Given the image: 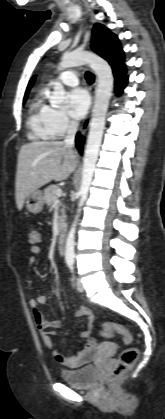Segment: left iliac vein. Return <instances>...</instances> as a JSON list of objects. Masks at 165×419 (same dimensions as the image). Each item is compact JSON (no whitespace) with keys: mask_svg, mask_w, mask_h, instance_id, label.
Masks as SVG:
<instances>
[{"mask_svg":"<svg viewBox=\"0 0 165 419\" xmlns=\"http://www.w3.org/2000/svg\"><path fill=\"white\" fill-rule=\"evenodd\" d=\"M77 290L79 292H83V290H84L83 285H82V283H81V281L79 279L77 281Z\"/></svg>","mask_w":165,"mask_h":419,"instance_id":"1","label":"left iliac vein"}]
</instances>
